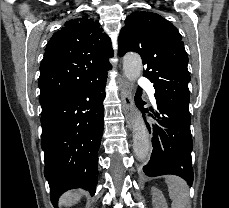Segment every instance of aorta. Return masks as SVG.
Instances as JSON below:
<instances>
[{
  "label": "aorta",
  "mask_w": 229,
  "mask_h": 208,
  "mask_svg": "<svg viewBox=\"0 0 229 208\" xmlns=\"http://www.w3.org/2000/svg\"><path fill=\"white\" fill-rule=\"evenodd\" d=\"M124 75L129 81H135L142 72V60L138 54H127L123 58ZM133 148L138 160L144 161L150 154V142L146 125L140 114L133 122Z\"/></svg>",
  "instance_id": "1"
}]
</instances>
